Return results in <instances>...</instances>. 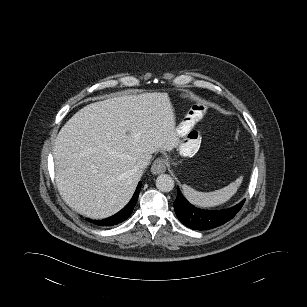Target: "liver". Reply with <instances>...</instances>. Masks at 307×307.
Listing matches in <instances>:
<instances>
[{"instance_id": "liver-1", "label": "liver", "mask_w": 307, "mask_h": 307, "mask_svg": "<svg viewBox=\"0 0 307 307\" xmlns=\"http://www.w3.org/2000/svg\"><path fill=\"white\" fill-rule=\"evenodd\" d=\"M167 93L125 95L89 104L58 133L53 157L66 204L93 219L109 217L131 199L137 163L179 145Z\"/></svg>"}]
</instances>
